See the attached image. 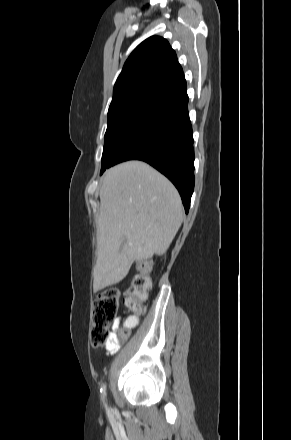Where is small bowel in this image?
I'll use <instances>...</instances> for the list:
<instances>
[{"label":"small bowel","mask_w":291,"mask_h":440,"mask_svg":"<svg viewBox=\"0 0 291 440\" xmlns=\"http://www.w3.org/2000/svg\"><path fill=\"white\" fill-rule=\"evenodd\" d=\"M138 322H139L138 317L131 316V315L124 318V319H121V318L117 319L114 322L112 329H111L110 341L105 346L106 352L109 354H113L118 351L119 344H118V339L116 337V332H117L120 325H122L125 328H133V327L137 326Z\"/></svg>","instance_id":"1"}]
</instances>
